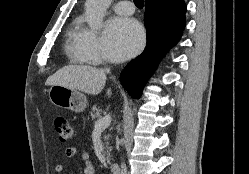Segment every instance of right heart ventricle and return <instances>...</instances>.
<instances>
[{"mask_svg": "<svg viewBox=\"0 0 249 174\" xmlns=\"http://www.w3.org/2000/svg\"><path fill=\"white\" fill-rule=\"evenodd\" d=\"M82 31L83 28L81 26V22L79 20H76L72 23L67 32L66 51L68 53L70 60L76 64L90 63L82 56L78 48V43Z\"/></svg>", "mask_w": 249, "mask_h": 174, "instance_id": "e07e8e85", "label": "right heart ventricle"}]
</instances>
